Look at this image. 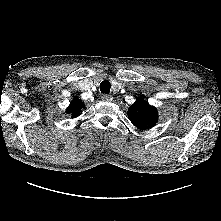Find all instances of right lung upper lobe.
<instances>
[{
    "label": "right lung upper lobe",
    "instance_id": "cb5924a9",
    "mask_svg": "<svg viewBox=\"0 0 221 221\" xmlns=\"http://www.w3.org/2000/svg\"><path fill=\"white\" fill-rule=\"evenodd\" d=\"M83 107L82 102L78 98H74L66 111L68 114H71L72 118H76L81 114Z\"/></svg>",
    "mask_w": 221,
    "mask_h": 221
}]
</instances>
